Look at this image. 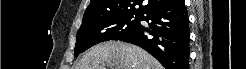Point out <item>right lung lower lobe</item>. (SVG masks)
I'll list each match as a JSON object with an SVG mask.
<instances>
[{"instance_id": "1", "label": "right lung lower lobe", "mask_w": 246, "mask_h": 69, "mask_svg": "<svg viewBox=\"0 0 246 69\" xmlns=\"http://www.w3.org/2000/svg\"><path fill=\"white\" fill-rule=\"evenodd\" d=\"M139 25L118 40L138 45L153 55L166 69L189 68V19L184 0H166L146 9Z\"/></svg>"}]
</instances>
